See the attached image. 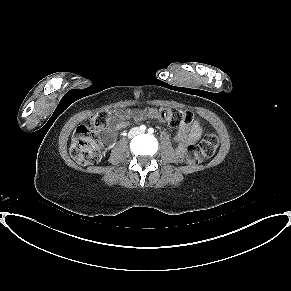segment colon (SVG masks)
<instances>
[{"label": "colon", "mask_w": 291, "mask_h": 291, "mask_svg": "<svg viewBox=\"0 0 291 291\" xmlns=\"http://www.w3.org/2000/svg\"><path fill=\"white\" fill-rule=\"evenodd\" d=\"M153 115L165 120L173 127H181L191 123L190 112L163 108L153 111ZM113 119L111 111L95 113L90 119L78 126L73 134L70 154L73 160L82 165L94 164L100 161L102 151L98 144V137L106 130ZM219 145V138L214 133H207L198 146H189L185 152V162L189 165L198 164L214 155Z\"/></svg>", "instance_id": "obj_1"}]
</instances>
